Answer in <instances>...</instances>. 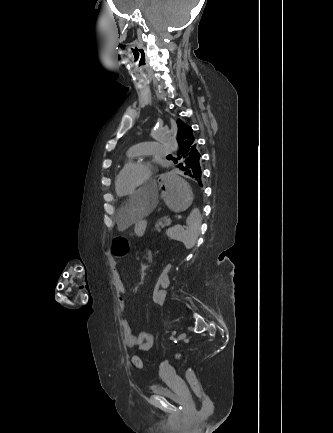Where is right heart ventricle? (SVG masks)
I'll return each mask as SVG.
<instances>
[{"label":"right heart ventricle","mask_w":333,"mask_h":433,"mask_svg":"<svg viewBox=\"0 0 333 433\" xmlns=\"http://www.w3.org/2000/svg\"><path fill=\"white\" fill-rule=\"evenodd\" d=\"M132 157L133 156H131L130 154L126 157V159H125V161H124V163H123V166H122V168L123 167H125L128 163H130V160L132 159ZM121 168V169H122ZM121 171V170H120ZM118 194V193H117ZM119 195V194H118ZM120 197H123L122 195H119Z\"/></svg>","instance_id":"e07e8e85"}]
</instances>
